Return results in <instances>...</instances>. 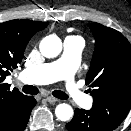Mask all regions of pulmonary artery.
<instances>
[{"instance_id": "pulmonary-artery-1", "label": "pulmonary artery", "mask_w": 131, "mask_h": 131, "mask_svg": "<svg viewBox=\"0 0 131 131\" xmlns=\"http://www.w3.org/2000/svg\"><path fill=\"white\" fill-rule=\"evenodd\" d=\"M83 42L77 37H67L64 40L61 57L53 62L24 69L21 80L29 84H48L64 80V91L77 105L89 107L92 98L86 95L73 80V75L80 62Z\"/></svg>"}]
</instances>
